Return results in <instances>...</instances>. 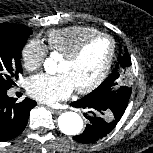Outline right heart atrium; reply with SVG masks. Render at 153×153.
Masks as SVG:
<instances>
[{
    "label": "right heart atrium",
    "instance_id": "d8ad5b80",
    "mask_svg": "<svg viewBox=\"0 0 153 153\" xmlns=\"http://www.w3.org/2000/svg\"><path fill=\"white\" fill-rule=\"evenodd\" d=\"M47 54L45 45L37 39H30L23 46L21 57L23 66L28 71L40 68Z\"/></svg>",
    "mask_w": 153,
    "mask_h": 153
}]
</instances>
